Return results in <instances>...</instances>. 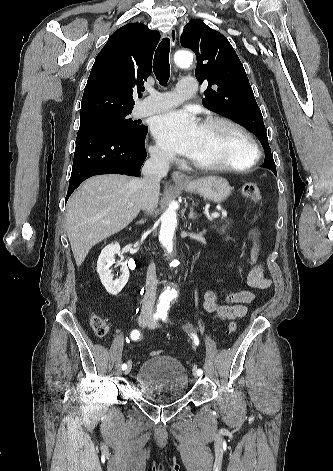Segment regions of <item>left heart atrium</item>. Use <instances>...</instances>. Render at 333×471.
<instances>
[{"instance_id":"left-heart-atrium-1","label":"left heart atrium","mask_w":333,"mask_h":471,"mask_svg":"<svg viewBox=\"0 0 333 471\" xmlns=\"http://www.w3.org/2000/svg\"><path fill=\"white\" fill-rule=\"evenodd\" d=\"M199 124L189 110L171 111L157 117L153 123V135L168 151L191 157L199 134Z\"/></svg>"}]
</instances>
